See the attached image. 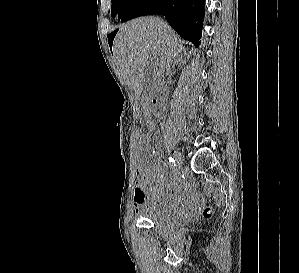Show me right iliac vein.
<instances>
[{
    "mask_svg": "<svg viewBox=\"0 0 299 273\" xmlns=\"http://www.w3.org/2000/svg\"><path fill=\"white\" fill-rule=\"evenodd\" d=\"M173 156H174L178 166H181L183 164V157H182L181 153L179 152V150L173 149Z\"/></svg>",
    "mask_w": 299,
    "mask_h": 273,
    "instance_id": "63e3f726",
    "label": "right iliac vein"
}]
</instances>
